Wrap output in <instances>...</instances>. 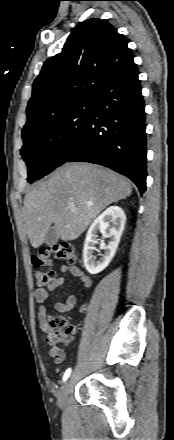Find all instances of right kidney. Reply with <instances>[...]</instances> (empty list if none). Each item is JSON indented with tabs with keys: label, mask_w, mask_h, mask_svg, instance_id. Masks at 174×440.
<instances>
[{
	"label": "right kidney",
	"mask_w": 174,
	"mask_h": 440,
	"mask_svg": "<svg viewBox=\"0 0 174 440\" xmlns=\"http://www.w3.org/2000/svg\"><path fill=\"white\" fill-rule=\"evenodd\" d=\"M125 223L126 215L123 209L118 206L107 208L93 221L88 229L83 249L84 266L90 274H97L109 265L116 253ZM98 232H101L104 238H110V241L108 245L101 242L100 248L105 252L100 260L96 261L93 251L98 242Z\"/></svg>",
	"instance_id": "ca27d5eb"
}]
</instances>
